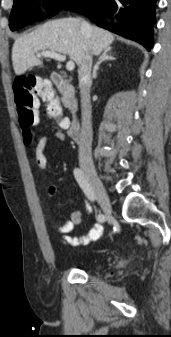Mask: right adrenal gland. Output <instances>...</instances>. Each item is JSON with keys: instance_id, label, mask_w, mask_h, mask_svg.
<instances>
[{"instance_id": "1", "label": "right adrenal gland", "mask_w": 171, "mask_h": 337, "mask_svg": "<svg viewBox=\"0 0 171 337\" xmlns=\"http://www.w3.org/2000/svg\"><path fill=\"white\" fill-rule=\"evenodd\" d=\"M111 51V48H107L104 50V52L102 53V55L100 56L99 58V61L95 64L94 68H93V73H92V78L93 79H96L97 77V71L99 69V66L100 64L103 62V61H107V60H115L116 58L109 55V52Z\"/></svg>"}]
</instances>
